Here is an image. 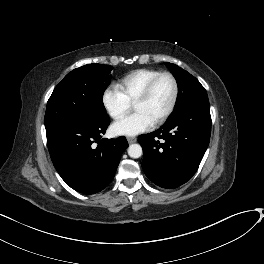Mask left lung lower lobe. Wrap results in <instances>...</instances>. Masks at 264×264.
<instances>
[{
	"label": "left lung lower lobe",
	"mask_w": 264,
	"mask_h": 264,
	"mask_svg": "<svg viewBox=\"0 0 264 264\" xmlns=\"http://www.w3.org/2000/svg\"><path fill=\"white\" fill-rule=\"evenodd\" d=\"M210 134L209 101L185 107L155 132L139 137L144 173L153 183L167 189L186 183L199 167Z\"/></svg>",
	"instance_id": "0a47b994"
}]
</instances>
